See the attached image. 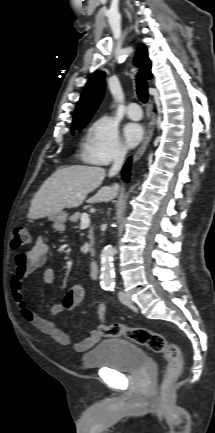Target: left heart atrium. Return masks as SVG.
<instances>
[{
    "instance_id": "left-heart-atrium-1",
    "label": "left heart atrium",
    "mask_w": 215,
    "mask_h": 433,
    "mask_svg": "<svg viewBox=\"0 0 215 433\" xmlns=\"http://www.w3.org/2000/svg\"><path fill=\"white\" fill-rule=\"evenodd\" d=\"M124 138L129 147L136 146L143 138V128L136 123H128L124 127Z\"/></svg>"
}]
</instances>
